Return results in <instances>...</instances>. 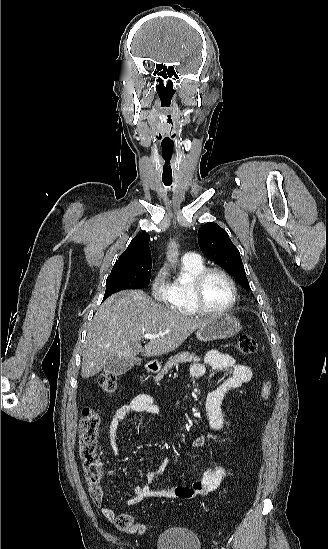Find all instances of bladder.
Masks as SVG:
<instances>
[{
	"instance_id": "bladder-1",
	"label": "bladder",
	"mask_w": 328,
	"mask_h": 549,
	"mask_svg": "<svg viewBox=\"0 0 328 549\" xmlns=\"http://www.w3.org/2000/svg\"><path fill=\"white\" fill-rule=\"evenodd\" d=\"M181 528H171L158 537L157 549H200L199 536H184Z\"/></svg>"
}]
</instances>
